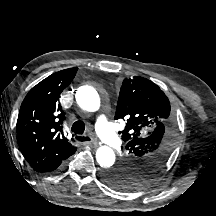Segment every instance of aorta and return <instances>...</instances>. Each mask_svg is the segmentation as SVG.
<instances>
[{"instance_id": "obj_1", "label": "aorta", "mask_w": 216, "mask_h": 216, "mask_svg": "<svg viewBox=\"0 0 216 216\" xmlns=\"http://www.w3.org/2000/svg\"><path fill=\"white\" fill-rule=\"evenodd\" d=\"M76 102L85 111L95 112L100 108L97 91L90 86H82L76 92ZM96 160L102 168H110L115 162V153L108 146H101L96 151Z\"/></svg>"}]
</instances>
